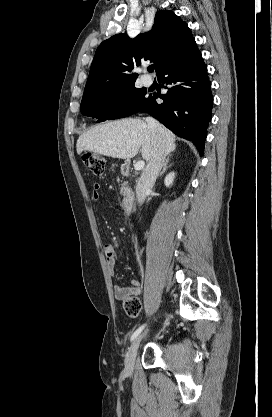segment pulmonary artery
Returning a JSON list of instances; mask_svg holds the SVG:
<instances>
[{"label": "pulmonary artery", "mask_w": 272, "mask_h": 417, "mask_svg": "<svg viewBox=\"0 0 272 417\" xmlns=\"http://www.w3.org/2000/svg\"><path fill=\"white\" fill-rule=\"evenodd\" d=\"M143 83L145 84V85H150L151 83H152V80L150 79V78H143Z\"/></svg>", "instance_id": "pulmonary-artery-1"}]
</instances>
